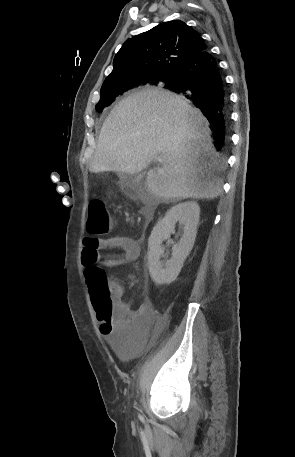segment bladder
Here are the masks:
<instances>
[{"label":"bladder","mask_w":295,"mask_h":457,"mask_svg":"<svg viewBox=\"0 0 295 457\" xmlns=\"http://www.w3.org/2000/svg\"><path fill=\"white\" fill-rule=\"evenodd\" d=\"M106 347H115V356L129 360L142 355L143 338H106Z\"/></svg>","instance_id":"obj_1"}]
</instances>
